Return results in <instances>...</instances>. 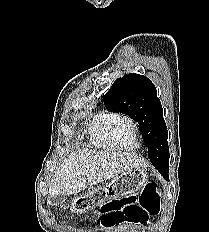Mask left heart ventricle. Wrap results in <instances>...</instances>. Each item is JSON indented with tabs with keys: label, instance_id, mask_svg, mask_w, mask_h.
Returning <instances> with one entry per match:
<instances>
[{
	"label": "left heart ventricle",
	"instance_id": "obj_1",
	"mask_svg": "<svg viewBox=\"0 0 209 232\" xmlns=\"http://www.w3.org/2000/svg\"><path fill=\"white\" fill-rule=\"evenodd\" d=\"M114 132L123 146L127 148H132L134 146L132 127L128 123L117 124L114 128Z\"/></svg>",
	"mask_w": 209,
	"mask_h": 232
}]
</instances>
